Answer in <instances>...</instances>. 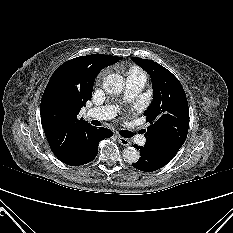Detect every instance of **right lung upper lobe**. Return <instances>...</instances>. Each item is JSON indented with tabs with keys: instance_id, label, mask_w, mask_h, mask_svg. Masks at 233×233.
Here are the masks:
<instances>
[{
	"instance_id": "right-lung-upper-lobe-1",
	"label": "right lung upper lobe",
	"mask_w": 233,
	"mask_h": 233,
	"mask_svg": "<svg viewBox=\"0 0 233 233\" xmlns=\"http://www.w3.org/2000/svg\"><path fill=\"white\" fill-rule=\"evenodd\" d=\"M122 57L92 54L63 63L52 74L41 99V123L52 152L70 151L79 135L92 127L77 115L91 99L95 77Z\"/></svg>"
}]
</instances>
